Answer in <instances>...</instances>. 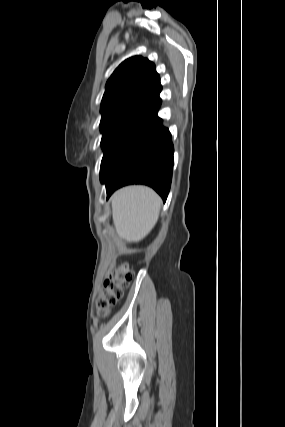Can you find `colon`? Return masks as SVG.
Listing matches in <instances>:
<instances>
[{
	"instance_id": "5ec220e1",
	"label": "colon",
	"mask_w": 285,
	"mask_h": 427,
	"mask_svg": "<svg viewBox=\"0 0 285 427\" xmlns=\"http://www.w3.org/2000/svg\"><path fill=\"white\" fill-rule=\"evenodd\" d=\"M132 272L126 264L117 266L104 282L97 298V311L100 316H106L109 308L123 296L130 284Z\"/></svg>"
}]
</instances>
